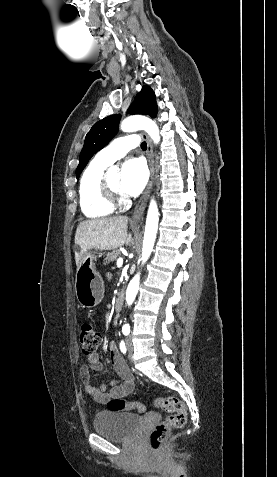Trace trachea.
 <instances>
[{"label":"trachea","mask_w":277,"mask_h":477,"mask_svg":"<svg viewBox=\"0 0 277 477\" xmlns=\"http://www.w3.org/2000/svg\"><path fill=\"white\" fill-rule=\"evenodd\" d=\"M141 149H142V150H146V149H147V144H146V142H142V143H141Z\"/></svg>","instance_id":"obj_1"}]
</instances>
